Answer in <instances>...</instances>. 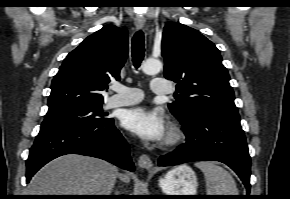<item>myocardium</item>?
Listing matches in <instances>:
<instances>
[{
    "instance_id": "1",
    "label": "myocardium",
    "mask_w": 290,
    "mask_h": 199,
    "mask_svg": "<svg viewBox=\"0 0 290 199\" xmlns=\"http://www.w3.org/2000/svg\"><path fill=\"white\" fill-rule=\"evenodd\" d=\"M184 137L181 126L176 122H171L168 126L167 134L163 141L164 147H172L178 144Z\"/></svg>"
}]
</instances>
